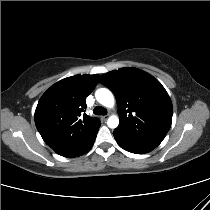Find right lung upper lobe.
<instances>
[{"label": "right lung upper lobe", "instance_id": "1", "mask_svg": "<svg viewBox=\"0 0 210 210\" xmlns=\"http://www.w3.org/2000/svg\"><path fill=\"white\" fill-rule=\"evenodd\" d=\"M98 75H75L52 85L41 97L35 124L43 140L59 155L70 157L90 143L101 125L84 113L85 98L98 82Z\"/></svg>", "mask_w": 210, "mask_h": 210}]
</instances>
